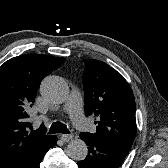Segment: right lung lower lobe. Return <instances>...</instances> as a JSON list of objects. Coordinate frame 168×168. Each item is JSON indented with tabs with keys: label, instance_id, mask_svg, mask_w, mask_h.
Masks as SVG:
<instances>
[{
	"label": "right lung lower lobe",
	"instance_id": "1",
	"mask_svg": "<svg viewBox=\"0 0 168 168\" xmlns=\"http://www.w3.org/2000/svg\"><path fill=\"white\" fill-rule=\"evenodd\" d=\"M56 141H57V139H56V137L54 136V139L52 140V143H51V146H50V147L54 146V145L56 144ZM47 151H48V150H47ZM47 151H46V152H47ZM46 152H45V153H46ZM45 153H43L42 156L39 157V158H38L33 164H31L28 168H39V164H40L42 158L44 157Z\"/></svg>",
	"mask_w": 168,
	"mask_h": 168
}]
</instances>
